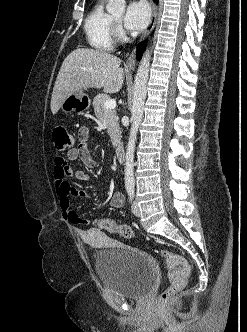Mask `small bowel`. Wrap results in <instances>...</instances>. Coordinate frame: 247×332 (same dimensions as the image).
<instances>
[{
    "label": "small bowel",
    "instance_id": "1",
    "mask_svg": "<svg viewBox=\"0 0 247 332\" xmlns=\"http://www.w3.org/2000/svg\"><path fill=\"white\" fill-rule=\"evenodd\" d=\"M89 127L81 126L79 129V145L71 148L64 157H56L53 169L56 193L60 202V207L65 217L74 225L88 226L92 223L91 219L82 217L71 206L73 196L89 197L86 191H77L75 187L67 181L68 177H75L81 181H88L89 175L84 171L75 170L71 167L70 162L80 159L88 168L96 166V159L91 152L87 142L89 136ZM124 204V196L121 192L115 191L111 194L109 205L113 208H121Z\"/></svg>",
    "mask_w": 247,
    "mask_h": 332
}]
</instances>
